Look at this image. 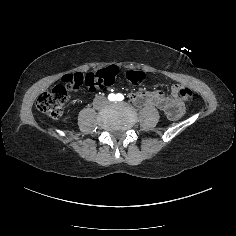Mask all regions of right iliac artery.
Masks as SVG:
<instances>
[{
  "mask_svg": "<svg viewBox=\"0 0 236 236\" xmlns=\"http://www.w3.org/2000/svg\"><path fill=\"white\" fill-rule=\"evenodd\" d=\"M108 100L109 101H115L116 100V95L115 94H109Z\"/></svg>",
  "mask_w": 236,
  "mask_h": 236,
  "instance_id": "obj_1",
  "label": "right iliac artery"
}]
</instances>
